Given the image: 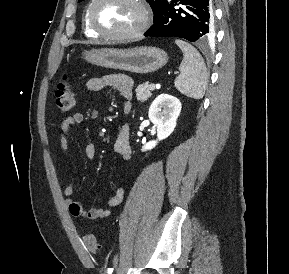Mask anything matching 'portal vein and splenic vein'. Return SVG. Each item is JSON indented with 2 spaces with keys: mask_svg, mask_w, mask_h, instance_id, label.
I'll return each instance as SVG.
<instances>
[{
  "mask_svg": "<svg viewBox=\"0 0 289 274\" xmlns=\"http://www.w3.org/2000/svg\"><path fill=\"white\" fill-rule=\"evenodd\" d=\"M154 89H155V84L152 83V84H151V90H154Z\"/></svg>",
  "mask_w": 289,
  "mask_h": 274,
  "instance_id": "portal-vein-and-splenic-vein-1",
  "label": "portal vein and splenic vein"
}]
</instances>
